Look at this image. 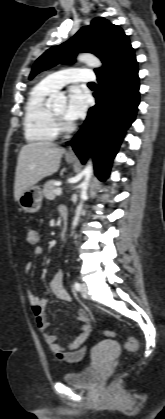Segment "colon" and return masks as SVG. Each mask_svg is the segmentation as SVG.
I'll return each mask as SVG.
<instances>
[{"label":"colon","mask_w":165,"mask_h":419,"mask_svg":"<svg viewBox=\"0 0 165 419\" xmlns=\"http://www.w3.org/2000/svg\"><path fill=\"white\" fill-rule=\"evenodd\" d=\"M32 239L35 240V236L32 235ZM105 338H112L113 337V332L106 330L103 333ZM125 348L126 350L131 353V354H135L139 351V343L138 341L133 338V337H128L125 341Z\"/></svg>","instance_id":"obj_1"}]
</instances>
